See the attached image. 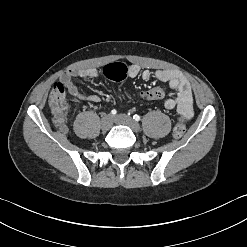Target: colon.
<instances>
[{
	"instance_id": "1",
	"label": "colon",
	"mask_w": 247,
	"mask_h": 247,
	"mask_svg": "<svg viewBox=\"0 0 247 247\" xmlns=\"http://www.w3.org/2000/svg\"><path fill=\"white\" fill-rule=\"evenodd\" d=\"M103 74L113 81H124L129 76V68L123 63H112L104 67ZM141 96L147 100H158L164 97V92L159 87L142 92ZM49 106L56 125L64 129L67 115L68 102L65 88L62 84L56 83L49 96ZM186 132L185 118L179 117L174 128L173 136L181 138Z\"/></svg>"
}]
</instances>
